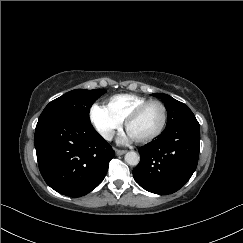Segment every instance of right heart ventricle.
Segmentation results:
<instances>
[{
	"label": "right heart ventricle",
	"mask_w": 243,
	"mask_h": 243,
	"mask_svg": "<svg viewBox=\"0 0 243 243\" xmlns=\"http://www.w3.org/2000/svg\"><path fill=\"white\" fill-rule=\"evenodd\" d=\"M149 99L135 94H118L112 96L107 102V108L121 121L141 104Z\"/></svg>",
	"instance_id": "obj_1"
}]
</instances>
